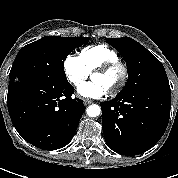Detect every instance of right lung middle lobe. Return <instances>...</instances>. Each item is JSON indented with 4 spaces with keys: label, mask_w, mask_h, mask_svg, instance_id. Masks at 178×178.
<instances>
[{
    "label": "right lung middle lobe",
    "mask_w": 178,
    "mask_h": 178,
    "mask_svg": "<svg viewBox=\"0 0 178 178\" xmlns=\"http://www.w3.org/2000/svg\"><path fill=\"white\" fill-rule=\"evenodd\" d=\"M88 41L89 37L46 36L24 46L12 65L10 82L66 79L65 59L76 47Z\"/></svg>",
    "instance_id": "1"
}]
</instances>
